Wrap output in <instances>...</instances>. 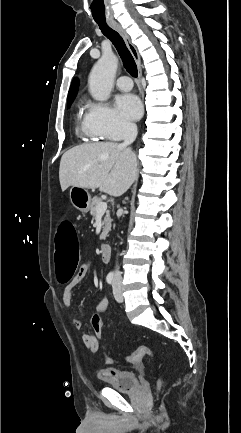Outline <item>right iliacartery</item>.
Segmentation results:
<instances>
[{
  "instance_id": "1",
  "label": "right iliac artery",
  "mask_w": 241,
  "mask_h": 433,
  "mask_svg": "<svg viewBox=\"0 0 241 433\" xmlns=\"http://www.w3.org/2000/svg\"><path fill=\"white\" fill-rule=\"evenodd\" d=\"M106 281H107L108 284H112V282H113V275H107Z\"/></svg>"
}]
</instances>
